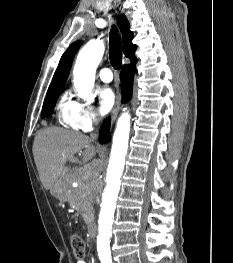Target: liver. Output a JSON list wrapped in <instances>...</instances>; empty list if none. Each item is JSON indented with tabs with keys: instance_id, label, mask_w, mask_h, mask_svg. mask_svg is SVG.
<instances>
[{
	"instance_id": "6515ba94",
	"label": "liver",
	"mask_w": 233,
	"mask_h": 263,
	"mask_svg": "<svg viewBox=\"0 0 233 263\" xmlns=\"http://www.w3.org/2000/svg\"><path fill=\"white\" fill-rule=\"evenodd\" d=\"M91 142L86 135L62 128L40 130L33 143V155L43 187L51 191L59 177L65 174L66 162L83 149V163L92 160L96 149Z\"/></svg>"
}]
</instances>
